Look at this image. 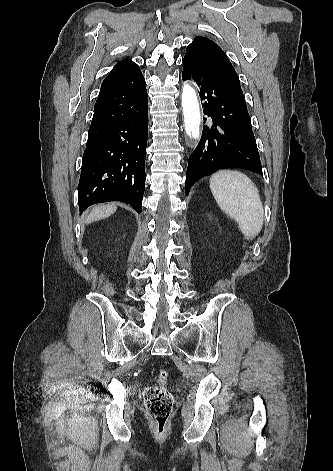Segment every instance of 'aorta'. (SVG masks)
I'll return each mask as SVG.
<instances>
[{"label":"aorta","mask_w":333,"mask_h":471,"mask_svg":"<svg viewBox=\"0 0 333 471\" xmlns=\"http://www.w3.org/2000/svg\"><path fill=\"white\" fill-rule=\"evenodd\" d=\"M182 108L186 134L198 139L200 134L201 115L195 90L186 82L182 88Z\"/></svg>","instance_id":"762f6f07"}]
</instances>
